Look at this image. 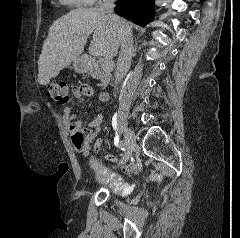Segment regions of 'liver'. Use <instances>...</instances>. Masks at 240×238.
Masks as SVG:
<instances>
[{"label":"liver","mask_w":240,"mask_h":238,"mask_svg":"<svg viewBox=\"0 0 240 238\" xmlns=\"http://www.w3.org/2000/svg\"><path fill=\"white\" fill-rule=\"evenodd\" d=\"M130 27V23L123 20ZM93 33L90 50L112 60L121 44V31L99 9L78 8L60 17L49 28L38 60V81L47 85L84 51Z\"/></svg>","instance_id":"obj_1"}]
</instances>
